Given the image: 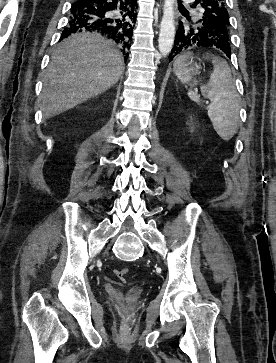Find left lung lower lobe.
Returning a JSON list of instances; mask_svg holds the SVG:
<instances>
[{
    "label": "left lung lower lobe",
    "mask_w": 276,
    "mask_h": 363,
    "mask_svg": "<svg viewBox=\"0 0 276 363\" xmlns=\"http://www.w3.org/2000/svg\"><path fill=\"white\" fill-rule=\"evenodd\" d=\"M217 47L221 49L229 58L231 47L226 41L219 38L216 33L210 30V24L206 21L191 23L190 27L184 29L183 23L179 22V29L175 36L174 46L169 54L171 62L178 54H182L196 47Z\"/></svg>",
    "instance_id": "1"
}]
</instances>
